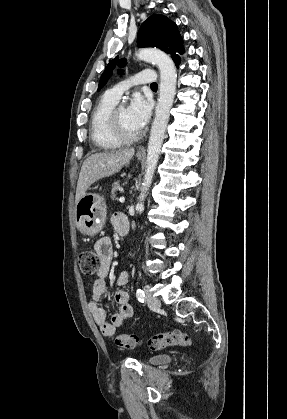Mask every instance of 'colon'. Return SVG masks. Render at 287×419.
<instances>
[{
  "mask_svg": "<svg viewBox=\"0 0 287 419\" xmlns=\"http://www.w3.org/2000/svg\"><path fill=\"white\" fill-rule=\"evenodd\" d=\"M101 265L99 255L92 250H85L80 253L79 266L81 272L86 276H92L98 272ZM110 339L115 345L132 349L137 347L141 341L137 335L134 334H120L110 336ZM190 344V338L187 334L180 330H173L165 333H160L152 336L148 341V347L151 350H160L169 346H187Z\"/></svg>",
  "mask_w": 287,
  "mask_h": 419,
  "instance_id": "obj_1",
  "label": "colon"
}]
</instances>
